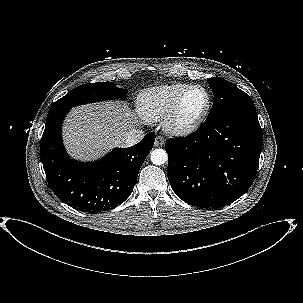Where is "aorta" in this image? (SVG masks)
Segmentation results:
<instances>
[{
	"mask_svg": "<svg viewBox=\"0 0 303 303\" xmlns=\"http://www.w3.org/2000/svg\"><path fill=\"white\" fill-rule=\"evenodd\" d=\"M151 161L155 165H162L168 161V155L163 149H155L151 152Z\"/></svg>",
	"mask_w": 303,
	"mask_h": 303,
	"instance_id": "aorta-1",
	"label": "aorta"
}]
</instances>
